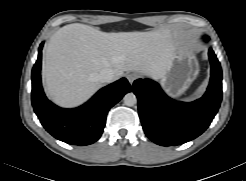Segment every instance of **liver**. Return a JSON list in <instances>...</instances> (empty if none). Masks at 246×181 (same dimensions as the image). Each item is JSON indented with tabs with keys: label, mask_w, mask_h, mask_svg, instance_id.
Returning <instances> with one entry per match:
<instances>
[{
	"label": "liver",
	"mask_w": 246,
	"mask_h": 181,
	"mask_svg": "<svg viewBox=\"0 0 246 181\" xmlns=\"http://www.w3.org/2000/svg\"><path fill=\"white\" fill-rule=\"evenodd\" d=\"M172 48L164 32L105 33L84 24L66 25L46 47L42 76L47 95L60 106H78L101 87L97 75L104 68L113 70L114 80L125 71L158 78Z\"/></svg>",
	"instance_id": "6515ba94"
}]
</instances>
